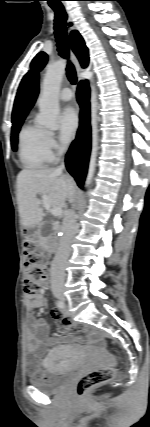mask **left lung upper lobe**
Returning <instances> with one entry per match:
<instances>
[{"label": "left lung upper lobe", "instance_id": "left-lung-upper-lobe-1", "mask_svg": "<svg viewBox=\"0 0 150 427\" xmlns=\"http://www.w3.org/2000/svg\"><path fill=\"white\" fill-rule=\"evenodd\" d=\"M47 62V55L44 52L38 53L31 62V67L35 70H41Z\"/></svg>", "mask_w": 150, "mask_h": 427}]
</instances>
